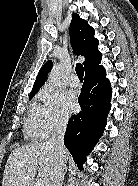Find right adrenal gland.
I'll return each mask as SVG.
<instances>
[{
  "mask_svg": "<svg viewBox=\"0 0 138 186\" xmlns=\"http://www.w3.org/2000/svg\"><path fill=\"white\" fill-rule=\"evenodd\" d=\"M66 172H67V167H66V169H65V171L63 173L60 186H62V184H63V181H64V177H65Z\"/></svg>",
  "mask_w": 138,
  "mask_h": 186,
  "instance_id": "1",
  "label": "right adrenal gland"
}]
</instances>
